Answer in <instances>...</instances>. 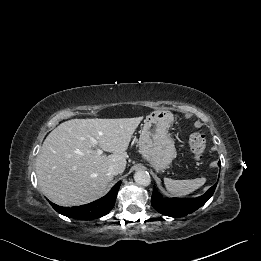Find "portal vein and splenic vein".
Instances as JSON below:
<instances>
[{
  "label": "portal vein and splenic vein",
  "mask_w": 261,
  "mask_h": 261,
  "mask_svg": "<svg viewBox=\"0 0 261 261\" xmlns=\"http://www.w3.org/2000/svg\"><path fill=\"white\" fill-rule=\"evenodd\" d=\"M90 140H91V142H92L93 145L98 146V141H97L95 138L90 137ZM97 153H98L99 155H101V154L103 153V151H102L100 148H98V149H97Z\"/></svg>",
  "instance_id": "obj_1"
}]
</instances>
